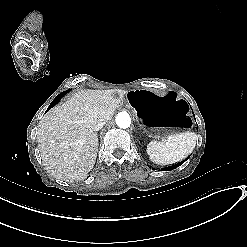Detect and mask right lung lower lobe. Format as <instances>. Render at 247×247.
<instances>
[{
  "label": "right lung lower lobe",
  "instance_id": "1",
  "mask_svg": "<svg viewBox=\"0 0 247 247\" xmlns=\"http://www.w3.org/2000/svg\"><path fill=\"white\" fill-rule=\"evenodd\" d=\"M68 91H69V90L64 91V92L58 94V95L56 96V98H55V99L51 102V104L49 105L47 111H48L49 109H51L52 107H54V106L60 101V99L62 98V96L65 95Z\"/></svg>",
  "mask_w": 247,
  "mask_h": 247
}]
</instances>
